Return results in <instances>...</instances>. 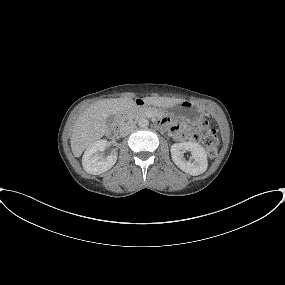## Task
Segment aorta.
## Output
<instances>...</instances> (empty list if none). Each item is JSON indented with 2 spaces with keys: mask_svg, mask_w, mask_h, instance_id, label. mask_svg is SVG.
<instances>
[{
  "mask_svg": "<svg viewBox=\"0 0 285 285\" xmlns=\"http://www.w3.org/2000/svg\"><path fill=\"white\" fill-rule=\"evenodd\" d=\"M138 125L141 128H146L149 125V121L147 119H145V118H140L139 121H138Z\"/></svg>",
  "mask_w": 285,
  "mask_h": 285,
  "instance_id": "762f6f07",
  "label": "aorta"
}]
</instances>
